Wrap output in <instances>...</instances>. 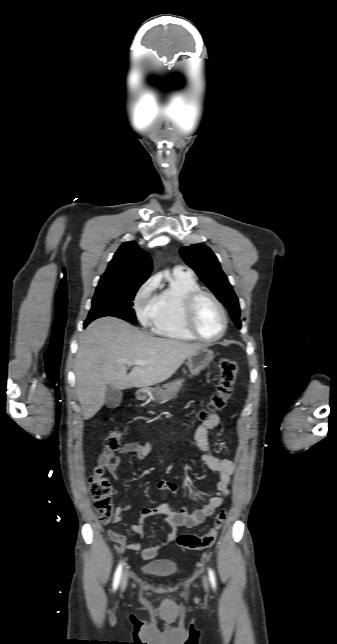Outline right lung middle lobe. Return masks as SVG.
Wrapping results in <instances>:
<instances>
[{
    "label": "right lung middle lobe",
    "instance_id": "1",
    "mask_svg": "<svg viewBox=\"0 0 337 644\" xmlns=\"http://www.w3.org/2000/svg\"><path fill=\"white\" fill-rule=\"evenodd\" d=\"M141 284L97 286L92 308L84 325L87 326L93 320L104 316H114L128 322H135L132 301Z\"/></svg>",
    "mask_w": 337,
    "mask_h": 644
}]
</instances>
